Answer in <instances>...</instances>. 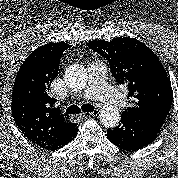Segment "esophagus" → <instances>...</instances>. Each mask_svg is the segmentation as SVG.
I'll return each instance as SVG.
<instances>
[{
	"instance_id": "esophagus-1",
	"label": "esophagus",
	"mask_w": 178,
	"mask_h": 178,
	"mask_svg": "<svg viewBox=\"0 0 178 178\" xmlns=\"http://www.w3.org/2000/svg\"><path fill=\"white\" fill-rule=\"evenodd\" d=\"M99 112H100V111H99L98 109H95V110H94L93 112H91V113H81L80 116L83 117V118H84V117H85V118H86V117H91V116L95 117V116H97V115L99 114Z\"/></svg>"
}]
</instances>
